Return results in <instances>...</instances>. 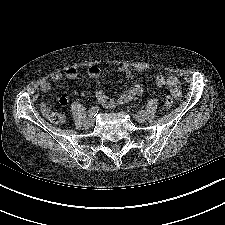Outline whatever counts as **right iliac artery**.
Instances as JSON below:
<instances>
[{
    "label": "right iliac artery",
    "mask_w": 225,
    "mask_h": 225,
    "mask_svg": "<svg viewBox=\"0 0 225 225\" xmlns=\"http://www.w3.org/2000/svg\"><path fill=\"white\" fill-rule=\"evenodd\" d=\"M98 111H99L98 106L92 107L88 112V118H94L97 115Z\"/></svg>",
    "instance_id": "1"
}]
</instances>
